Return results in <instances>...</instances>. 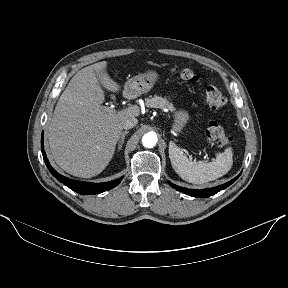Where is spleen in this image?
<instances>
[{"label": "spleen", "instance_id": "3e777b00", "mask_svg": "<svg viewBox=\"0 0 288 288\" xmlns=\"http://www.w3.org/2000/svg\"><path fill=\"white\" fill-rule=\"evenodd\" d=\"M169 158L175 172L185 181L195 184H203L222 177L231 169L233 164V151L231 147L218 153L216 159L206 163L192 161L174 143H169Z\"/></svg>", "mask_w": 288, "mask_h": 288}]
</instances>
